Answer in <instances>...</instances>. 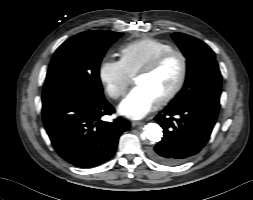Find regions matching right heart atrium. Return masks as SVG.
Segmentation results:
<instances>
[{
  "label": "right heart atrium",
  "instance_id": "d8ad5b80",
  "mask_svg": "<svg viewBox=\"0 0 253 200\" xmlns=\"http://www.w3.org/2000/svg\"><path fill=\"white\" fill-rule=\"evenodd\" d=\"M98 78L105 93L112 99H118L127 90L129 75L120 61L103 58L98 66Z\"/></svg>",
  "mask_w": 253,
  "mask_h": 200
}]
</instances>
